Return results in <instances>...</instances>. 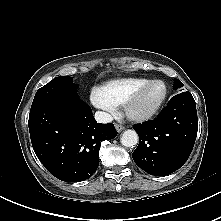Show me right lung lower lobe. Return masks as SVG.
Returning <instances> with one entry per match:
<instances>
[{
  "label": "right lung lower lobe",
  "instance_id": "obj_1",
  "mask_svg": "<svg viewBox=\"0 0 221 221\" xmlns=\"http://www.w3.org/2000/svg\"><path fill=\"white\" fill-rule=\"evenodd\" d=\"M29 132L33 149L56 178L77 182L98 168L101 142L113 139V124L97 123L76 93L57 95L31 106Z\"/></svg>",
  "mask_w": 221,
  "mask_h": 221
}]
</instances>
